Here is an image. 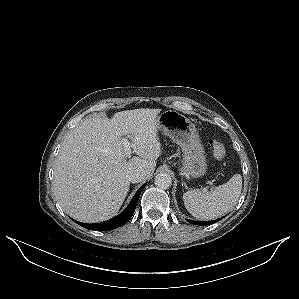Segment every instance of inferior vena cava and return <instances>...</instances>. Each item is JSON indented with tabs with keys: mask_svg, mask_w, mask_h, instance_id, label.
<instances>
[{
	"mask_svg": "<svg viewBox=\"0 0 299 299\" xmlns=\"http://www.w3.org/2000/svg\"><path fill=\"white\" fill-rule=\"evenodd\" d=\"M144 178H145V172L140 169L131 171L128 175V179L132 183H139V182L143 181Z\"/></svg>",
	"mask_w": 299,
	"mask_h": 299,
	"instance_id": "inferior-vena-cava-1",
	"label": "inferior vena cava"
}]
</instances>
